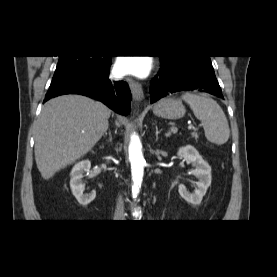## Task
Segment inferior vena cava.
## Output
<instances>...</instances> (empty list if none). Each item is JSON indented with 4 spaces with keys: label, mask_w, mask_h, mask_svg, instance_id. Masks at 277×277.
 Masks as SVG:
<instances>
[{
    "label": "inferior vena cava",
    "mask_w": 277,
    "mask_h": 277,
    "mask_svg": "<svg viewBox=\"0 0 277 277\" xmlns=\"http://www.w3.org/2000/svg\"><path fill=\"white\" fill-rule=\"evenodd\" d=\"M115 219H124V208H123V200L122 197L119 196L118 202L116 205V210H115Z\"/></svg>",
    "instance_id": "inferior-vena-cava-1"
}]
</instances>
